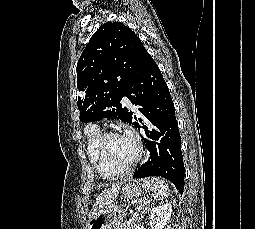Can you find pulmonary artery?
<instances>
[{
	"instance_id": "obj_1",
	"label": "pulmonary artery",
	"mask_w": 255,
	"mask_h": 229,
	"mask_svg": "<svg viewBox=\"0 0 255 229\" xmlns=\"http://www.w3.org/2000/svg\"><path fill=\"white\" fill-rule=\"evenodd\" d=\"M123 103L126 104L128 107H132L130 100L127 97L123 98Z\"/></svg>"
}]
</instances>
